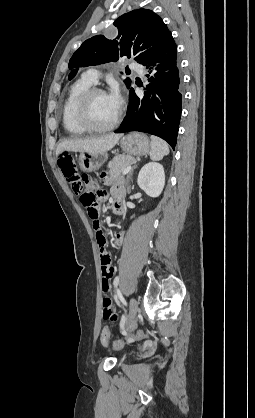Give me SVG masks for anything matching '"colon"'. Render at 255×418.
I'll use <instances>...</instances> for the list:
<instances>
[{"mask_svg":"<svg viewBox=\"0 0 255 418\" xmlns=\"http://www.w3.org/2000/svg\"><path fill=\"white\" fill-rule=\"evenodd\" d=\"M58 165L67 182L70 184L73 192L80 196L81 201L86 208L87 214L93 222V226L96 231V238L97 236L106 237L98 221L99 203L105 197V194L103 192L94 191V185L88 176L79 175L75 163L69 155H62L58 161ZM143 336V332L130 333L125 338L114 341L112 343V348L121 349L125 343L132 342L133 340L142 338ZM101 340L104 345L109 344L108 328H104L102 330Z\"/></svg>","mask_w":255,"mask_h":418,"instance_id":"1","label":"colon"}]
</instances>
